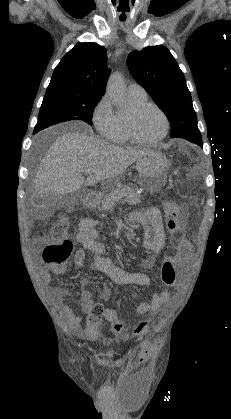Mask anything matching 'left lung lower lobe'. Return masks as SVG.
I'll list each match as a JSON object with an SVG mask.
<instances>
[{
	"label": "left lung lower lobe",
	"instance_id": "left-lung-lower-lobe-1",
	"mask_svg": "<svg viewBox=\"0 0 231 419\" xmlns=\"http://www.w3.org/2000/svg\"><path fill=\"white\" fill-rule=\"evenodd\" d=\"M190 142H193V143H196V144H198L199 146H203V144H202V140H201V138H194V139H188Z\"/></svg>",
	"mask_w": 231,
	"mask_h": 419
}]
</instances>
